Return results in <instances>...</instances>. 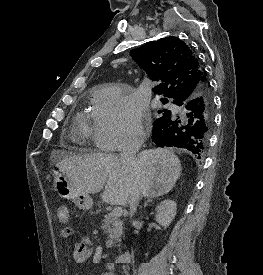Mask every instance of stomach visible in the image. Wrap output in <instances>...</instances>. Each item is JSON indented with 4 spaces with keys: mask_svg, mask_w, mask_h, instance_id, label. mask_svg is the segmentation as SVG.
<instances>
[{
    "mask_svg": "<svg viewBox=\"0 0 263 275\" xmlns=\"http://www.w3.org/2000/svg\"><path fill=\"white\" fill-rule=\"evenodd\" d=\"M53 189L60 197L72 200L80 209L89 210L92 208V198L76 189L61 172L53 171Z\"/></svg>",
    "mask_w": 263,
    "mask_h": 275,
    "instance_id": "1",
    "label": "stomach"
}]
</instances>
